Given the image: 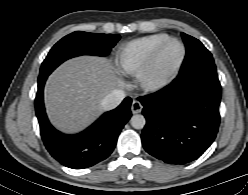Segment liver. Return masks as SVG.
<instances>
[{
	"label": "liver",
	"mask_w": 248,
	"mask_h": 195,
	"mask_svg": "<svg viewBox=\"0 0 248 195\" xmlns=\"http://www.w3.org/2000/svg\"><path fill=\"white\" fill-rule=\"evenodd\" d=\"M120 85L109 59L95 56L70 59L47 80L44 99L48 117L63 132H79L99 116L101 100Z\"/></svg>",
	"instance_id": "6515ba94"
}]
</instances>
